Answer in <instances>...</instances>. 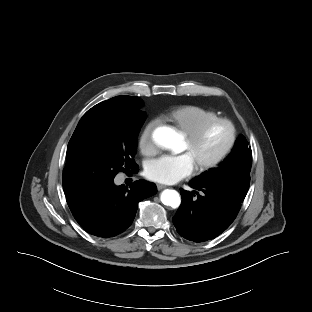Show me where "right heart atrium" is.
I'll return each mask as SVG.
<instances>
[{
  "instance_id": "right-heart-atrium-1",
  "label": "right heart atrium",
  "mask_w": 312,
  "mask_h": 312,
  "mask_svg": "<svg viewBox=\"0 0 312 312\" xmlns=\"http://www.w3.org/2000/svg\"><path fill=\"white\" fill-rule=\"evenodd\" d=\"M157 126L156 120L149 121L142 129L139 137V149L145 156H153L157 152V146L153 140V131Z\"/></svg>"
}]
</instances>
